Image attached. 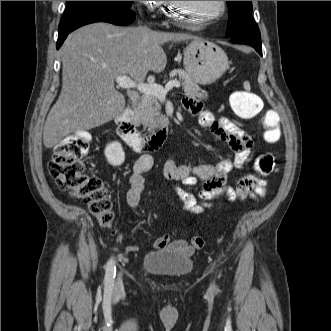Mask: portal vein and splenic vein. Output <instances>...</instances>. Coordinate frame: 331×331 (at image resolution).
<instances>
[{
	"instance_id": "portal-vein-and-splenic-vein-1",
	"label": "portal vein and splenic vein",
	"mask_w": 331,
	"mask_h": 331,
	"mask_svg": "<svg viewBox=\"0 0 331 331\" xmlns=\"http://www.w3.org/2000/svg\"><path fill=\"white\" fill-rule=\"evenodd\" d=\"M116 83L119 87L124 89H133L136 88L139 92L143 94H151L155 95L158 98H165L166 94L174 87L179 88L180 82L176 80H172L168 82L165 87L158 85L156 83H139L134 82L130 77L126 75H121L116 77Z\"/></svg>"
}]
</instances>
